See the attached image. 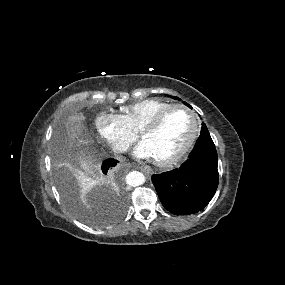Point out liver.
Listing matches in <instances>:
<instances>
[{"instance_id":"obj_1","label":"liver","mask_w":285,"mask_h":285,"mask_svg":"<svg viewBox=\"0 0 285 285\" xmlns=\"http://www.w3.org/2000/svg\"><path fill=\"white\" fill-rule=\"evenodd\" d=\"M80 128H81L80 124H73L70 126L69 131H68V135L72 141L71 145L75 142V138L79 137V134L81 131ZM87 143H88V141L78 139L76 145L81 146V145H84ZM87 149H88V147H86L80 151L81 156L79 158V164H80V167L87 174H92L93 172L100 169L101 164L96 158H92L90 155L87 154ZM79 178H80L81 183L85 186L90 183L89 178L85 177L83 173H80Z\"/></svg>"}]
</instances>
